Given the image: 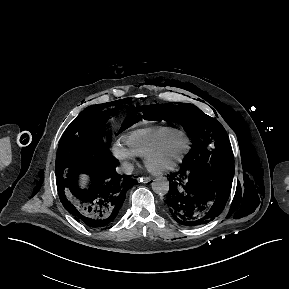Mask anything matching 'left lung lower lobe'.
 I'll use <instances>...</instances> for the list:
<instances>
[{"instance_id":"1","label":"left lung lower lobe","mask_w":289,"mask_h":289,"mask_svg":"<svg viewBox=\"0 0 289 289\" xmlns=\"http://www.w3.org/2000/svg\"><path fill=\"white\" fill-rule=\"evenodd\" d=\"M233 176V165L220 168L208 154L187 155L181 169L169 176L168 211L190 227L212 221L224 209Z\"/></svg>"}]
</instances>
